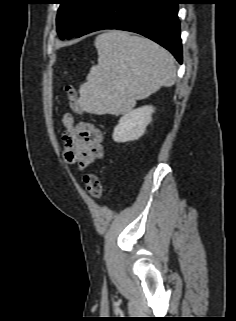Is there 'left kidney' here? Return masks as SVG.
I'll use <instances>...</instances> for the list:
<instances>
[{"label":"left kidney","instance_id":"1","mask_svg":"<svg viewBox=\"0 0 236 321\" xmlns=\"http://www.w3.org/2000/svg\"><path fill=\"white\" fill-rule=\"evenodd\" d=\"M154 107L143 106L123 115L113 132L115 142H127L139 139L152 120Z\"/></svg>","mask_w":236,"mask_h":321}]
</instances>
